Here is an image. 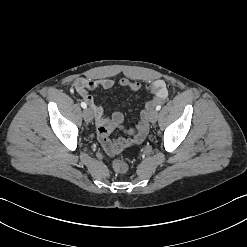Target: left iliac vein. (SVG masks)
<instances>
[{"instance_id": "1", "label": "left iliac vein", "mask_w": 247, "mask_h": 247, "mask_svg": "<svg viewBox=\"0 0 247 247\" xmlns=\"http://www.w3.org/2000/svg\"><path fill=\"white\" fill-rule=\"evenodd\" d=\"M158 118V111L156 109H153L149 113V120L151 123H155Z\"/></svg>"}]
</instances>
